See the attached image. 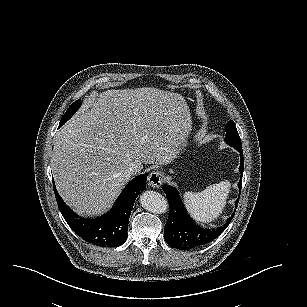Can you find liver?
<instances>
[{
	"instance_id": "1",
	"label": "liver",
	"mask_w": 307,
	"mask_h": 307,
	"mask_svg": "<svg viewBox=\"0 0 307 307\" xmlns=\"http://www.w3.org/2000/svg\"><path fill=\"white\" fill-rule=\"evenodd\" d=\"M191 131L181 94L152 87L101 92L85 99L54 137L56 189L78 215H101L130 180L128 168L140 173L143 164H170Z\"/></svg>"
}]
</instances>
